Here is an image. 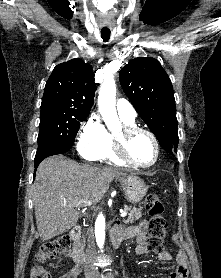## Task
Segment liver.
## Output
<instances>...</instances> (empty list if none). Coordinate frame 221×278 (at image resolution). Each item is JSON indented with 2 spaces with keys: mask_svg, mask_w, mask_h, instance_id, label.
<instances>
[{
  "mask_svg": "<svg viewBox=\"0 0 221 278\" xmlns=\"http://www.w3.org/2000/svg\"><path fill=\"white\" fill-rule=\"evenodd\" d=\"M124 173L110 168L80 165L64 156L43 160L36 172L33 203L41 240L47 241L76 225L79 212L75 207L84 200L99 202L109 183Z\"/></svg>",
  "mask_w": 221,
  "mask_h": 278,
  "instance_id": "1",
  "label": "liver"
}]
</instances>
